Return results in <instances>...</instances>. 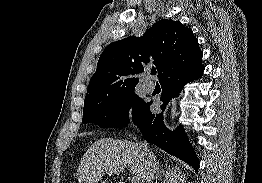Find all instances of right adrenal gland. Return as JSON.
Listing matches in <instances>:
<instances>
[{
    "label": "right adrenal gland",
    "instance_id": "2a0ac1e0",
    "mask_svg": "<svg viewBox=\"0 0 262 183\" xmlns=\"http://www.w3.org/2000/svg\"><path fill=\"white\" fill-rule=\"evenodd\" d=\"M163 172H164L163 169L160 168V165L157 162V173H156V177H155V179H156L155 183H157L161 179Z\"/></svg>",
    "mask_w": 262,
    "mask_h": 183
}]
</instances>
